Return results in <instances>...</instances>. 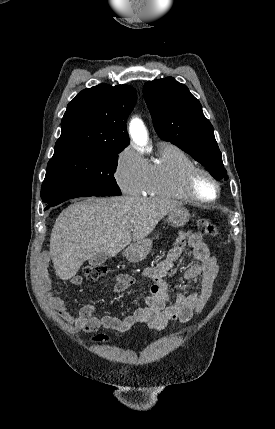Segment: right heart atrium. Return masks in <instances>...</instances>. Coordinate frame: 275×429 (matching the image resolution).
Wrapping results in <instances>:
<instances>
[{
    "mask_svg": "<svg viewBox=\"0 0 275 429\" xmlns=\"http://www.w3.org/2000/svg\"><path fill=\"white\" fill-rule=\"evenodd\" d=\"M114 177L123 192L140 195L146 189L148 164L134 148L127 146L116 156Z\"/></svg>",
    "mask_w": 275,
    "mask_h": 429,
    "instance_id": "1",
    "label": "right heart atrium"
}]
</instances>
